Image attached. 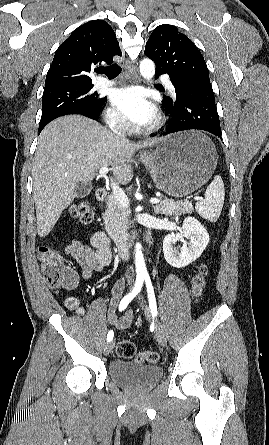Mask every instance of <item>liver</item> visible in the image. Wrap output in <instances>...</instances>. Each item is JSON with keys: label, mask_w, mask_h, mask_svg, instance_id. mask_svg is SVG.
Returning <instances> with one entry per match:
<instances>
[{"label": "liver", "mask_w": 269, "mask_h": 445, "mask_svg": "<svg viewBox=\"0 0 269 445\" xmlns=\"http://www.w3.org/2000/svg\"><path fill=\"white\" fill-rule=\"evenodd\" d=\"M163 138L134 144L121 140L96 121L68 115L41 132L35 152L33 197L38 235L47 236L74 200L78 182L88 183L97 171L111 165L115 179L127 184L133 177V155Z\"/></svg>", "instance_id": "1"}]
</instances>
